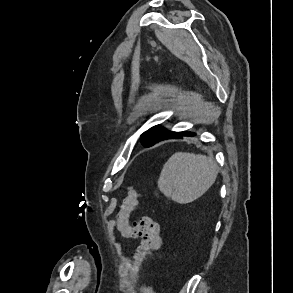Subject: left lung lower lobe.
<instances>
[{"label":"left lung lower lobe","instance_id":"obj_1","mask_svg":"<svg viewBox=\"0 0 293 293\" xmlns=\"http://www.w3.org/2000/svg\"><path fill=\"white\" fill-rule=\"evenodd\" d=\"M195 133L192 132H172L170 131L167 135H165L162 140L175 138V139H182V136H194Z\"/></svg>","mask_w":293,"mask_h":293}]
</instances>
